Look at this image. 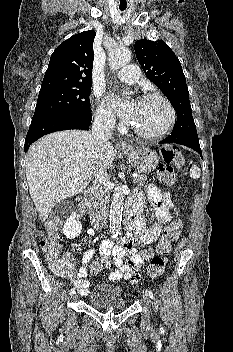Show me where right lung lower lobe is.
<instances>
[{"label":"right lung lower lobe","mask_w":233,"mask_h":352,"mask_svg":"<svg viewBox=\"0 0 233 352\" xmlns=\"http://www.w3.org/2000/svg\"><path fill=\"white\" fill-rule=\"evenodd\" d=\"M92 120L91 110L83 113L52 114L33 118L28 130L24 151L40 137L61 130L82 129L88 130Z\"/></svg>","instance_id":"98d812e1"}]
</instances>
